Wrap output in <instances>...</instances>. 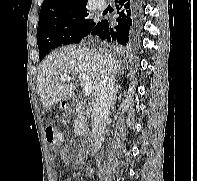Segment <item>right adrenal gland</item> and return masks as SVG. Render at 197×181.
<instances>
[{
	"instance_id": "2a0ac1e0",
	"label": "right adrenal gland",
	"mask_w": 197,
	"mask_h": 181,
	"mask_svg": "<svg viewBox=\"0 0 197 181\" xmlns=\"http://www.w3.org/2000/svg\"><path fill=\"white\" fill-rule=\"evenodd\" d=\"M117 91H118V85H116V86H115V95H114V100H113L112 105H115V103H116V99H117V97H116V95H117Z\"/></svg>"
}]
</instances>
